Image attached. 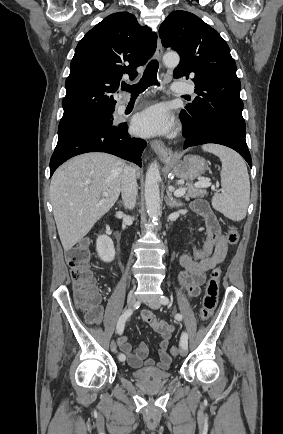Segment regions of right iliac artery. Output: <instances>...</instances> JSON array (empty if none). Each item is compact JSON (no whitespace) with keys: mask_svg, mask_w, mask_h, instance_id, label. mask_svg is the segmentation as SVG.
Returning a JSON list of instances; mask_svg holds the SVG:
<instances>
[{"mask_svg":"<svg viewBox=\"0 0 283 434\" xmlns=\"http://www.w3.org/2000/svg\"><path fill=\"white\" fill-rule=\"evenodd\" d=\"M132 312H133L132 309H128V310L124 311L122 313V315L120 316V318L117 322V327H116L118 334H122V332L124 330L125 322L131 316ZM118 359L120 361H125V356H123L122 354H119Z\"/></svg>","mask_w":283,"mask_h":434,"instance_id":"right-iliac-artery-1","label":"right iliac artery"}]
</instances>
